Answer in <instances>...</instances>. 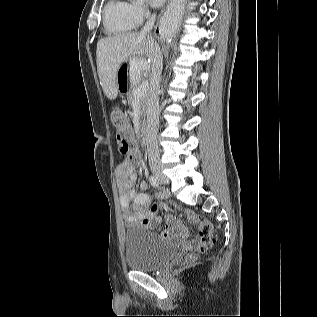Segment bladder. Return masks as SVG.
<instances>
[{
	"label": "bladder",
	"mask_w": 317,
	"mask_h": 317,
	"mask_svg": "<svg viewBox=\"0 0 317 317\" xmlns=\"http://www.w3.org/2000/svg\"><path fill=\"white\" fill-rule=\"evenodd\" d=\"M179 251L177 244L156 237L143 226H131L124 235L125 263L132 270L160 269L173 260Z\"/></svg>",
	"instance_id": "31cf9c89"
}]
</instances>
